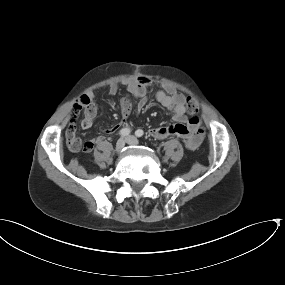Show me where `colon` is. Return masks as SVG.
<instances>
[{
  "mask_svg": "<svg viewBox=\"0 0 285 285\" xmlns=\"http://www.w3.org/2000/svg\"><path fill=\"white\" fill-rule=\"evenodd\" d=\"M91 101H92L91 98L87 94L82 95L77 99L73 109L71 110L72 123H70L69 126L73 125L74 121L79 117L81 112L91 105ZM187 109H188V112L190 114L197 113L198 106L193 99L188 101ZM73 139H74L75 145L78 149H82L84 147L85 142L83 140H81L80 138H77L75 136H73Z\"/></svg>",
  "mask_w": 285,
  "mask_h": 285,
  "instance_id": "1",
  "label": "colon"
}]
</instances>
